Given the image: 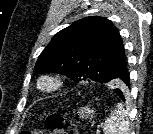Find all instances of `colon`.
Returning a JSON list of instances; mask_svg holds the SVG:
<instances>
[{"instance_id":"obj_1","label":"colon","mask_w":153,"mask_h":134,"mask_svg":"<svg viewBox=\"0 0 153 134\" xmlns=\"http://www.w3.org/2000/svg\"><path fill=\"white\" fill-rule=\"evenodd\" d=\"M48 134H78L77 128L57 113L47 117L45 121ZM22 134H43L40 131H25Z\"/></svg>"}]
</instances>
